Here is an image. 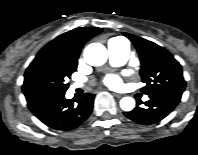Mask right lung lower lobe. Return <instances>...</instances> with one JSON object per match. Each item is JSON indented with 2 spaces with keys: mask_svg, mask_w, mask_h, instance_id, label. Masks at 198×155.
I'll use <instances>...</instances> for the list:
<instances>
[{
  "mask_svg": "<svg viewBox=\"0 0 198 155\" xmlns=\"http://www.w3.org/2000/svg\"><path fill=\"white\" fill-rule=\"evenodd\" d=\"M33 114L45 125L55 130L69 131L77 128L91 114L94 95L86 93L77 100L65 98V92L43 91L25 95Z\"/></svg>",
  "mask_w": 198,
  "mask_h": 155,
  "instance_id": "right-lung-lower-lobe-1",
  "label": "right lung lower lobe"
}]
</instances>
